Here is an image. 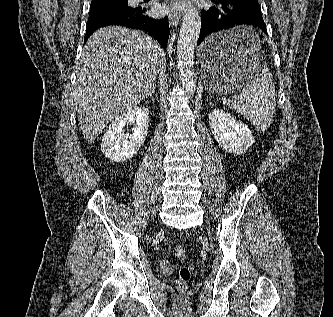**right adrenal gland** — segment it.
Masks as SVG:
<instances>
[{
  "label": "right adrenal gland",
  "mask_w": 333,
  "mask_h": 317,
  "mask_svg": "<svg viewBox=\"0 0 333 317\" xmlns=\"http://www.w3.org/2000/svg\"><path fill=\"white\" fill-rule=\"evenodd\" d=\"M156 87V85L153 86L152 91L147 95V97H152V95H155L157 98Z\"/></svg>",
  "instance_id": "right-adrenal-gland-1"
}]
</instances>
